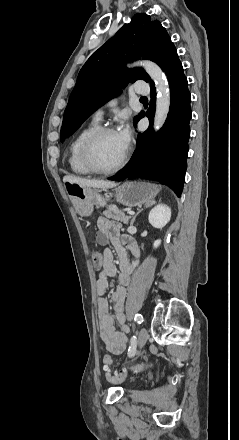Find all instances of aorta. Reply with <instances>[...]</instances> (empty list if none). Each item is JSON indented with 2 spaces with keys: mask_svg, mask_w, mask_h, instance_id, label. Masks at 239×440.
Instances as JSON below:
<instances>
[{
  "mask_svg": "<svg viewBox=\"0 0 239 440\" xmlns=\"http://www.w3.org/2000/svg\"><path fill=\"white\" fill-rule=\"evenodd\" d=\"M142 66H144L147 74L151 76L152 80H155L157 84V102L156 112L154 118V130L162 128L169 112L170 108V92L167 86V82L157 64L145 60Z\"/></svg>",
  "mask_w": 239,
  "mask_h": 440,
  "instance_id": "aorta-1",
  "label": "aorta"
}]
</instances>
